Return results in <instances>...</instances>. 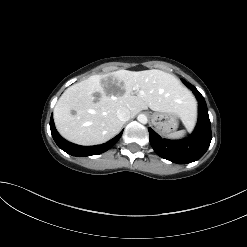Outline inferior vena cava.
I'll return each instance as SVG.
<instances>
[{"label":"inferior vena cava","mask_w":247,"mask_h":247,"mask_svg":"<svg viewBox=\"0 0 247 247\" xmlns=\"http://www.w3.org/2000/svg\"><path fill=\"white\" fill-rule=\"evenodd\" d=\"M117 117L120 121L126 122L130 119L131 113L130 110L126 107H121L117 110Z\"/></svg>","instance_id":"602c4592"}]
</instances>
